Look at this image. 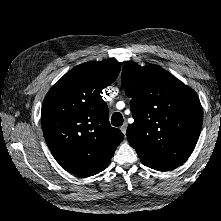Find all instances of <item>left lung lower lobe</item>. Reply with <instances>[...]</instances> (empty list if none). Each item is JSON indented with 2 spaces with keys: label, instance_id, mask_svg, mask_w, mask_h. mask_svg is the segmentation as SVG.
<instances>
[{
  "label": "left lung lower lobe",
  "instance_id": "1",
  "mask_svg": "<svg viewBox=\"0 0 221 221\" xmlns=\"http://www.w3.org/2000/svg\"><path fill=\"white\" fill-rule=\"evenodd\" d=\"M141 162L145 165L148 166L152 169L158 170V171H170L172 169H174L173 167L167 166L165 164H161L158 162H154V161H149V160H141Z\"/></svg>",
  "mask_w": 221,
  "mask_h": 221
}]
</instances>
